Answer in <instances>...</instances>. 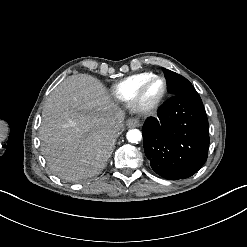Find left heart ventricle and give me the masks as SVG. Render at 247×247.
<instances>
[{
    "instance_id": "obj_1",
    "label": "left heart ventricle",
    "mask_w": 247,
    "mask_h": 247,
    "mask_svg": "<svg viewBox=\"0 0 247 247\" xmlns=\"http://www.w3.org/2000/svg\"><path fill=\"white\" fill-rule=\"evenodd\" d=\"M164 83L160 80L151 82L144 91L143 101L145 103H151L155 101L163 92Z\"/></svg>"
}]
</instances>
